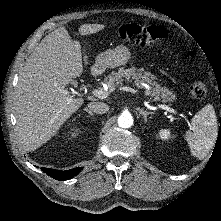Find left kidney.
Listing matches in <instances>:
<instances>
[{
  "label": "left kidney",
  "mask_w": 221,
  "mask_h": 221,
  "mask_svg": "<svg viewBox=\"0 0 221 221\" xmlns=\"http://www.w3.org/2000/svg\"><path fill=\"white\" fill-rule=\"evenodd\" d=\"M159 136L162 140H168L171 136L170 130L169 129H161L159 131Z\"/></svg>",
  "instance_id": "1"
}]
</instances>
